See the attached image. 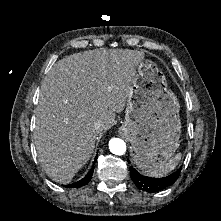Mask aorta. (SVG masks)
<instances>
[{
    "instance_id": "aorta-1",
    "label": "aorta",
    "mask_w": 221,
    "mask_h": 221,
    "mask_svg": "<svg viewBox=\"0 0 221 221\" xmlns=\"http://www.w3.org/2000/svg\"><path fill=\"white\" fill-rule=\"evenodd\" d=\"M109 149L115 155H123L126 152V144L120 138H113L109 142Z\"/></svg>"
}]
</instances>
